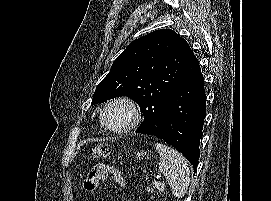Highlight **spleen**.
<instances>
[{
	"instance_id": "1",
	"label": "spleen",
	"mask_w": 271,
	"mask_h": 201,
	"mask_svg": "<svg viewBox=\"0 0 271 201\" xmlns=\"http://www.w3.org/2000/svg\"><path fill=\"white\" fill-rule=\"evenodd\" d=\"M155 148L160 155L159 171L165 175L172 195L178 199L182 198L190 183L187 160L177 150L165 144L156 143Z\"/></svg>"
}]
</instances>
